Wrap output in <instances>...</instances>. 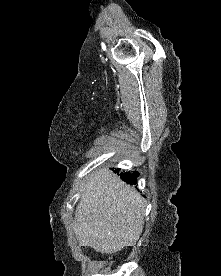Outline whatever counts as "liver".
I'll use <instances>...</instances> for the list:
<instances>
[{
    "label": "liver",
    "mask_w": 221,
    "mask_h": 276,
    "mask_svg": "<svg viewBox=\"0 0 221 276\" xmlns=\"http://www.w3.org/2000/svg\"><path fill=\"white\" fill-rule=\"evenodd\" d=\"M144 200L108 169L87 178L75 211L74 232L80 246L112 254L134 245L143 231Z\"/></svg>",
    "instance_id": "liver-1"
}]
</instances>
